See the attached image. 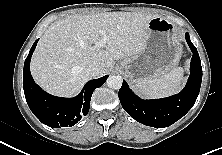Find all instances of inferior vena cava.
I'll return each instance as SVG.
<instances>
[{
    "label": "inferior vena cava",
    "instance_id": "1",
    "mask_svg": "<svg viewBox=\"0 0 222 155\" xmlns=\"http://www.w3.org/2000/svg\"><path fill=\"white\" fill-rule=\"evenodd\" d=\"M85 71L89 77H97L101 73V68L98 64L91 63L86 67Z\"/></svg>",
    "mask_w": 222,
    "mask_h": 155
}]
</instances>
